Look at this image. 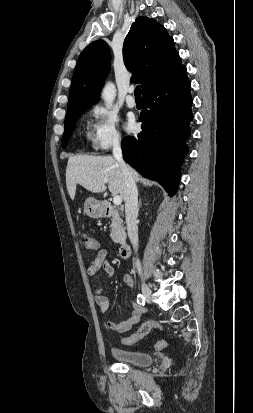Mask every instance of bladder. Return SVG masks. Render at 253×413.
Masks as SVG:
<instances>
[{"instance_id": "obj_1", "label": "bladder", "mask_w": 253, "mask_h": 413, "mask_svg": "<svg viewBox=\"0 0 253 413\" xmlns=\"http://www.w3.org/2000/svg\"><path fill=\"white\" fill-rule=\"evenodd\" d=\"M111 355L120 363L137 367H146L154 362V358L147 353L129 351L120 348H112Z\"/></svg>"}]
</instances>
